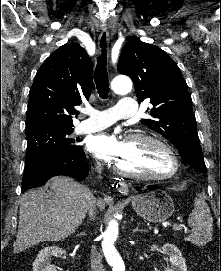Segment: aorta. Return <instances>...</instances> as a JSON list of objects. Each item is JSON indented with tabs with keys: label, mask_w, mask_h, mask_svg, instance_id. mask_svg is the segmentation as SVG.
I'll list each match as a JSON object with an SVG mask.
<instances>
[{
	"label": "aorta",
	"mask_w": 221,
	"mask_h": 271,
	"mask_svg": "<svg viewBox=\"0 0 221 271\" xmlns=\"http://www.w3.org/2000/svg\"><path fill=\"white\" fill-rule=\"evenodd\" d=\"M111 87L117 94H127L132 90V81L128 77L118 76L113 79ZM118 234V222L116 220L110 221L103 233L102 250L113 271H125L124 262L114 246Z\"/></svg>",
	"instance_id": "1"
}]
</instances>
